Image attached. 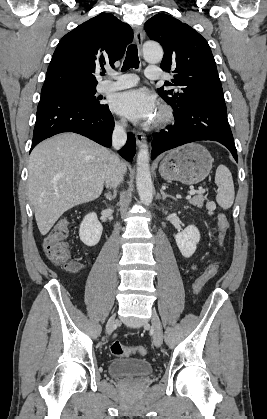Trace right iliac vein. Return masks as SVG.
Returning <instances> with one entry per match:
<instances>
[{
    "label": "right iliac vein",
    "instance_id": "obj_1",
    "mask_svg": "<svg viewBox=\"0 0 267 419\" xmlns=\"http://www.w3.org/2000/svg\"><path fill=\"white\" fill-rule=\"evenodd\" d=\"M116 322H117V320H116L115 316H112L108 320L107 325H106V331H107L108 334H110L112 332Z\"/></svg>",
    "mask_w": 267,
    "mask_h": 419
}]
</instances>
